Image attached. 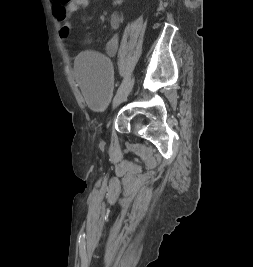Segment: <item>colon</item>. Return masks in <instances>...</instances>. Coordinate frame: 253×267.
<instances>
[{
	"instance_id": "colon-1",
	"label": "colon",
	"mask_w": 253,
	"mask_h": 267,
	"mask_svg": "<svg viewBox=\"0 0 253 267\" xmlns=\"http://www.w3.org/2000/svg\"><path fill=\"white\" fill-rule=\"evenodd\" d=\"M71 30L67 26H63L60 30V36L63 40H68L70 36Z\"/></svg>"
}]
</instances>
